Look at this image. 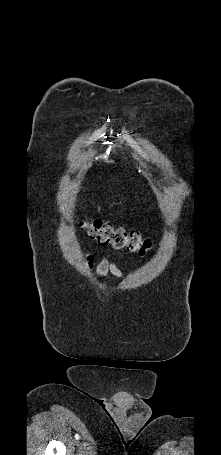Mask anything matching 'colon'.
<instances>
[{"instance_id": "obj_1", "label": "colon", "mask_w": 221, "mask_h": 455, "mask_svg": "<svg viewBox=\"0 0 221 455\" xmlns=\"http://www.w3.org/2000/svg\"><path fill=\"white\" fill-rule=\"evenodd\" d=\"M82 228L100 246L145 255L150 243L142 238L139 232L114 227L100 220L84 221Z\"/></svg>"}]
</instances>
